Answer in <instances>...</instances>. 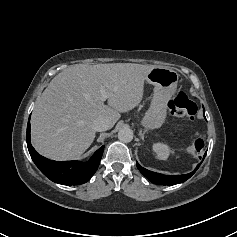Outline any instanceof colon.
I'll return each instance as SVG.
<instances>
[{
  "label": "colon",
  "mask_w": 237,
  "mask_h": 237,
  "mask_svg": "<svg viewBox=\"0 0 237 237\" xmlns=\"http://www.w3.org/2000/svg\"><path fill=\"white\" fill-rule=\"evenodd\" d=\"M168 109L172 115L186 117L189 120H192L197 113V105L184 92H178L169 100ZM204 148V139L197 138L187 147V150L193 155H200Z\"/></svg>",
  "instance_id": "obj_1"
}]
</instances>
